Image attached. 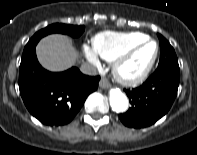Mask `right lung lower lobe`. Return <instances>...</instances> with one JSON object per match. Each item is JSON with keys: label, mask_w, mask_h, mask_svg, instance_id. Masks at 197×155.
Here are the masks:
<instances>
[{"label": "right lung lower lobe", "mask_w": 197, "mask_h": 155, "mask_svg": "<svg viewBox=\"0 0 197 155\" xmlns=\"http://www.w3.org/2000/svg\"><path fill=\"white\" fill-rule=\"evenodd\" d=\"M99 80V76L83 75L76 67L49 72L39 64L35 48L22 55L20 94L29 112L45 125L68 124L97 89Z\"/></svg>", "instance_id": "98d812e1"}]
</instances>
